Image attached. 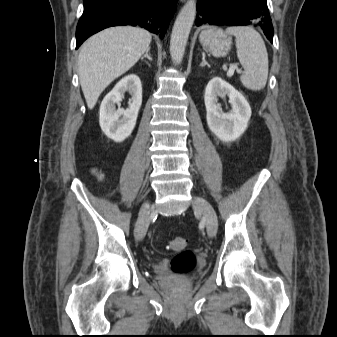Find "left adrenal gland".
Wrapping results in <instances>:
<instances>
[{"label": "left adrenal gland", "instance_id": "left-adrenal-gland-1", "mask_svg": "<svg viewBox=\"0 0 337 337\" xmlns=\"http://www.w3.org/2000/svg\"><path fill=\"white\" fill-rule=\"evenodd\" d=\"M205 65H207V66L209 67L208 62L205 60V53L202 52V62H201V64H200V66L203 67V66H205Z\"/></svg>", "mask_w": 337, "mask_h": 337}]
</instances>
